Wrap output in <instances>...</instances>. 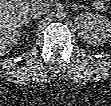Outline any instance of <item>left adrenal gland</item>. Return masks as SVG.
<instances>
[{
    "label": "left adrenal gland",
    "instance_id": "1",
    "mask_svg": "<svg viewBox=\"0 0 111 106\" xmlns=\"http://www.w3.org/2000/svg\"><path fill=\"white\" fill-rule=\"evenodd\" d=\"M71 7H72V9L85 8L84 6H82V5H77V4H73Z\"/></svg>",
    "mask_w": 111,
    "mask_h": 106
}]
</instances>
